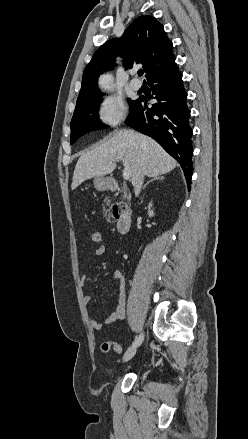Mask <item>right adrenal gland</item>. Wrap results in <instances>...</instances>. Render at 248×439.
<instances>
[{"label":"right adrenal gland","instance_id":"obj_1","mask_svg":"<svg viewBox=\"0 0 248 439\" xmlns=\"http://www.w3.org/2000/svg\"><path fill=\"white\" fill-rule=\"evenodd\" d=\"M163 179H164V176H161V177H155V178L151 179L150 181H148V182L144 185L143 189H145V188L147 187V185H148L150 182H152V181H154V180H163Z\"/></svg>","mask_w":248,"mask_h":439}]
</instances>
